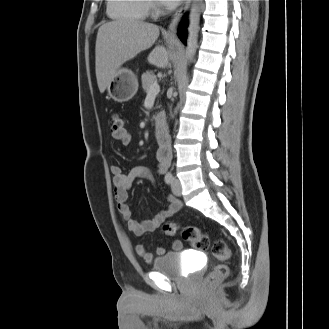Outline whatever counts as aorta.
<instances>
[{
  "mask_svg": "<svg viewBox=\"0 0 329 329\" xmlns=\"http://www.w3.org/2000/svg\"><path fill=\"white\" fill-rule=\"evenodd\" d=\"M200 1L201 0H193L189 14L188 37H187V46H186V57L188 61L192 60L197 49L200 10H201Z\"/></svg>",
  "mask_w": 329,
  "mask_h": 329,
  "instance_id": "obj_1",
  "label": "aorta"
}]
</instances>
